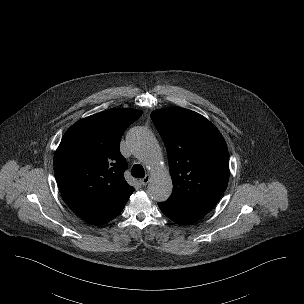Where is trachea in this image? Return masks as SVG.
Wrapping results in <instances>:
<instances>
[{"label":"trachea","instance_id":"3493384b","mask_svg":"<svg viewBox=\"0 0 304 304\" xmlns=\"http://www.w3.org/2000/svg\"><path fill=\"white\" fill-rule=\"evenodd\" d=\"M131 174L136 178H143L145 175L144 168L140 164H135L132 167Z\"/></svg>","mask_w":304,"mask_h":304}]
</instances>
